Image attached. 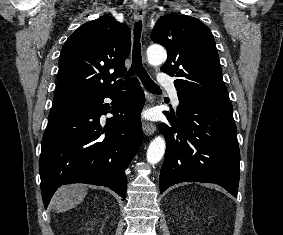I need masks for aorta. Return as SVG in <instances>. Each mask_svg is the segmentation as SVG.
<instances>
[{
    "label": "aorta",
    "instance_id": "1",
    "mask_svg": "<svg viewBox=\"0 0 283 235\" xmlns=\"http://www.w3.org/2000/svg\"><path fill=\"white\" fill-rule=\"evenodd\" d=\"M166 51L165 49L160 45H151L147 49V59L148 62L152 65H159L163 63L166 60ZM166 149V142L165 139L162 136L155 137L147 150V161L150 164H156L158 163Z\"/></svg>",
    "mask_w": 283,
    "mask_h": 235
}]
</instances>
